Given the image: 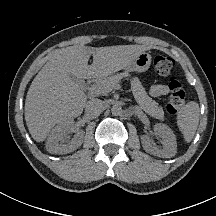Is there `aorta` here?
Masks as SVG:
<instances>
[{"mask_svg":"<svg viewBox=\"0 0 216 216\" xmlns=\"http://www.w3.org/2000/svg\"><path fill=\"white\" fill-rule=\"evenodd\" d=\"M111 113L114 116L121 115L122 114V107L120 105H118V104L113 105L112 108H111Z\"/></svg>","mask_w":216,"mask_h":216,"instance_id":"aorta-1","label":"aorta"}]
</instances>
